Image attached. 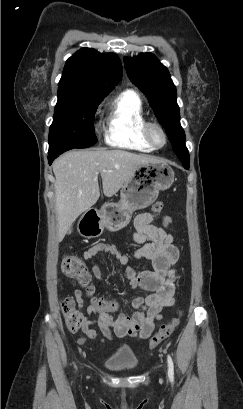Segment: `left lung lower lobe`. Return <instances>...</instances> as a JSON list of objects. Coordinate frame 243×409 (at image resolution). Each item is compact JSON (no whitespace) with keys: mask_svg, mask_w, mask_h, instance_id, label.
Masks as SVG:
<instances>
[{"mask_svg":"<svg viewBox=\"0 0 243 409\" xmlns=\"http://www.w3.org/2000/svg\"><path fill=\"white\" fill-rule=\"evenodd\" d=\"M185 169H189V166H184Z\"/></svg>","mask_w":243,"mask_h":409,"instance_id":"1","label":"left lung lower lobe"}]
</instances>
